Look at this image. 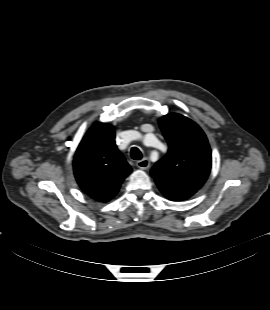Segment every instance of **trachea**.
Listing matches in <instances>:
<instances>
[{"label":"trachea","instance_id":"1","mask_svg":"<svg viewBox=\"0 0 270 310\" xmlns=\"http://www.w3.org/2000/svg\"><path fill=\"white\" fill-rule=\"evenodd\" d=\"M131 158L134 160H141L142 152L137 147L131 148Z\"/></svg>","mask_w":270,"mask_h":310}]
</instances>
